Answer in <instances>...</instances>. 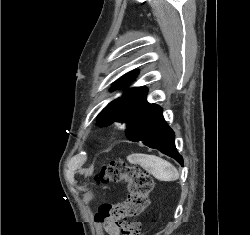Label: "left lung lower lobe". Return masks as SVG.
<instances>
[{
    "instance_id": "1",
    "label": "left lung lower lobe",
    "mask_w": 250,
    "mask_h": 235,
    "mask_svg": "<svg viewBox=\"0 0 250 235\" xmlns=\"http://www.w3.org/2000/svg\"><path fill=\"white\" fill-rule=\"evenodd\" d=\"M145 89L129 110L127 135L133 142L142 141L144 145L159 150L174 158L183 166V158L177 152L174 132L165 122L162 108L146 100Z\"/></svg>"
}]
</instances>
